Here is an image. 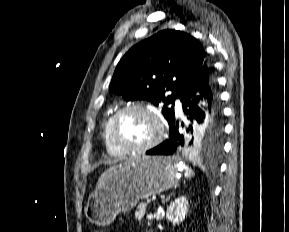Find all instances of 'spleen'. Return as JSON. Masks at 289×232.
<instances>
[{"mask_svg": "<svg viewBox=\"0 0 289 232\" xmlns=\"http://www.w3.org/2000/svg\"><path fill=\"white\" fill-rule=\"evenodd\" d=\"M194 175V172L190 169V168H185V176L186 177H190V176H193Z\"/></svg>", "mask_w": 289, "mask_h": 232, "instance_id": "3e777b00", "label": "spleen"}]
</instances>
